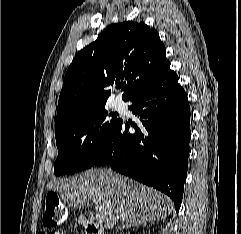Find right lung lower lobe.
Segmentation results:
<instances>
[{"mask_svg": "<svg viewBox=\"0 0 241 234\" xmlns=\"http://www.w3.org/2000/svg\"><path fill=\"white\" fill-rule=\"evenodd\" d=\"M146 84L128 101L139 126L120 120L107 148L94 165H110L145 185L167 194L179 210L187 176L190 107L178 76L169 69ZM135 133L129 132V127Z\"/></svg>", "mask_w": 241, "mask_h": 234, "instance_id": "98d812e1", "label": "right lung lower lobe"}]
</instances>
